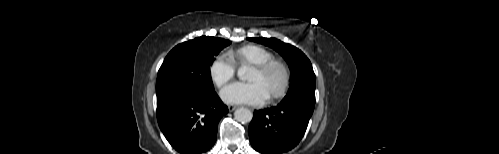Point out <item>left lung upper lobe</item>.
Returning a JSON list of instances; mask_svg holds the SVG:
<instances>
[{"label": "left lung upper lobe", "mask_w": 499, "mask_h": 154, "mask_svg": "<svg viewBox=\"0 0 499 154\" xmlns=\"http://www.w3.org/2000/svg\"><path fill=\"white\" fill-rule=\"evenodd\" d=\"M276 50L288 63L291 71V84L288 91L298 89L315 90V74L310 60L298 48L275 38H248Z\"/></svg>", "instance_id": "5c2ea615"}]
</instances>
